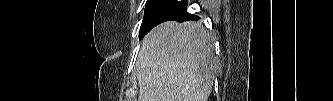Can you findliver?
I'll list each match as a JSON object with an SVG mask.
<instances>
[{
	"mask_svg": "<svg viewBox=\"0 0 333 101\" xmlns=\"http://www.w3.org/2000/svg\"><path fill=\"white\" fill-rule=\"evenodd\" d=\"M219 63L201 22H165L144 39L138 101H207Z\"/></svg>",
	"mask_w": 333,
	"mask_h": 101,
	"instance_id": "6515ba94",
	"label": "liver"
}]
</instances>
